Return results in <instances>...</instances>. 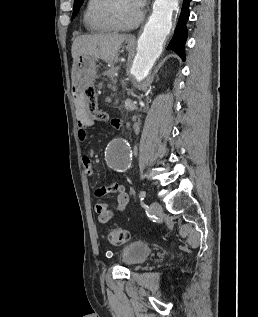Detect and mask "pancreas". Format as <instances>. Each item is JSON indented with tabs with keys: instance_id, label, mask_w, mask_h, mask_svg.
I'll use <instances>...</instances> for the list:
<instances>
[{
	"instance_id": "obj_1",
	"label": "pancreas",
	"mask_w": 258,
	"mask_h": 317,
	"mask_svg": "<svg viewBox=\"0 0 258 317\" xmlns=\"http://www.w3.org/2000/svg\"><path fill=\"white\" fill-rule=\"evenodd\" d=\"M109 82L111 83L110 88L113 90L114 93H119L120 92V87L117 84L118 79L116 77H111L109 79Z\"/></svg>"
}]
</instances>
